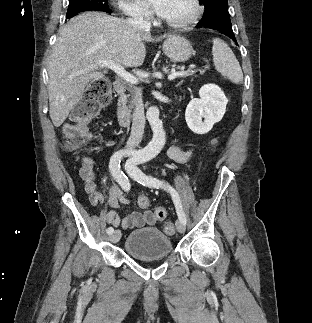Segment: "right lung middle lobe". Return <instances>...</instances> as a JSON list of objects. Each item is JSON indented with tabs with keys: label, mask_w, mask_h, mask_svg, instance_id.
<instances>
[{
	"label": "right lung middle lobe",
	"mask_w": 312,
	"mask_h": 323,
	"mask_svg": "<svg viewBox=\"0 0 312 323\" xmlns=\"http://www.w3.org/2000/svg\"><path fill=\"white\" fill-rule=\"evenodd\" d=\"M108 0H69V6L66 18H72L76 14L83 11H104L109 12Z\"/></svg>",
	"instance_id": "obj_1"
}]
</instances>
